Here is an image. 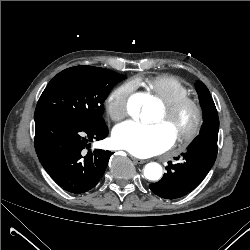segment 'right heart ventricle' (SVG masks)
Wrapping results in <instances>:
<instances>
[{"mask_svg":"<svg viewBox=\"0 0 250 250\" xmlns=\"http://www.w3.org/2000/svg\"><path fill=\"white\" fill-rule=\"evenodd\" d=\"M135 83L145 85L150 95L163 104L171 103L189 94L186 84L178 77L169 74L140 78Z\"/></svg>","mask_w":250,"mask_h":250,"instance_id":"obj_1","label":"right heart ventricle"}]
</instances>
